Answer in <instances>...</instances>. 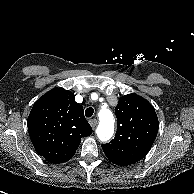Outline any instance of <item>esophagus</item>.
Returning <instances> with one entry per match:
<instances>
[{
	"label": "esophagus",
	"instance_id": "esophagus-1",
	"mask_svg": "<svg viewBox=\"0 0 194 194\" xmlns=\"http://www.w3.org/2000/svg\"><path fill=\"white\" fill-rule=\"evenodd\" d=\"M89 123H90L92 128H95L97 123H98V121L96 119H91V120H89Z\"/></svg>",
	"mask_w": 194,
	"mask_h": 194
}]
</instances>
